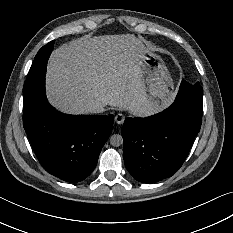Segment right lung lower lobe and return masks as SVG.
Returning <instances> with one entry per match:
<instances>
[{
	"mask_svg": "<svg viewBox=\"0 0 233 233\" xmlns=\"http://www.w3.org/2000/svg\"><path fill=\"white\" fill-rule=\"evenodd\" d=\"M23 100V126L43 168L70 183L88 177L111 134L114 116L56 111L46 99L45 79L24 93Z\"/></svg>",
	"mask_w": 233,
	"mask_h": 233,
	"instance_id": "obj_1",
	"label": "right lung lower lobe"
}]
</instances>
